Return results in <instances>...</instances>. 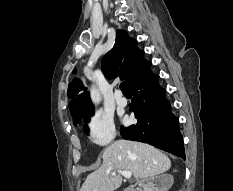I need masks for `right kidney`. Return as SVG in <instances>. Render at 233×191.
Instances as JSON below:
<instances>
[{"label":"right kidney","instance_id":"obj_1","mask_svg":"<svg viewBox=\"0 0 233 191\" xmlns=\"http://www.w3.org/2000/svg\"><path fill=\"white\" fill-rule=\"evenodd\" d=\"M174 178L171 174H162L150 178L146 191H168L173 185Z\"/></svg>","mask_w":233,"mask_h":191}]
</instances>
